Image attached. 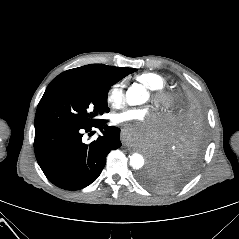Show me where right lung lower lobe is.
<instances>
[{
	"label": "right lung lower lobe",
	"mask_w": 239,
	"mask_h": 239,
	"mask_svg": "<svg viewBox=\"0 0 239 239\" xmlns=\"http://www.w3.org/2000/svg\"><path fill=\"white\" fill-rule=\"evenodd\" d=\"M99 128L102 136L89 144L83 133ZM92 133V132H91ZM120 129L100 121L91 126H35L34 151L45 176L65 190H79L94 182L111 150L121 146Z\"/></svg>",
	"instance_id": "98d812e1"
}]
</instances>
